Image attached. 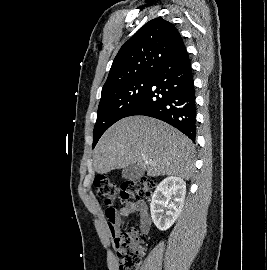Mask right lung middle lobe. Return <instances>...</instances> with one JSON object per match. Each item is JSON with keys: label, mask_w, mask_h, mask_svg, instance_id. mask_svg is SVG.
Returning <instances> with one entry per match:
<instances>
[{"label": "right lung middle lobe", "mask_w": 267, "mask_h": 270, "mask_svg": "<svg viewBox=\"0 0 267 270\" xmlns=\"http://www.w3.org/2000/svg\"><path fill=\"white\" fill-rule=\"evenodd\" d=\"M152 76L126 81L102 91L94 127L93 148L102 134L126 114L143 98L150 87Z\"/></svg>", "instance_id": "dd1d6c3e"}]
</instances>
